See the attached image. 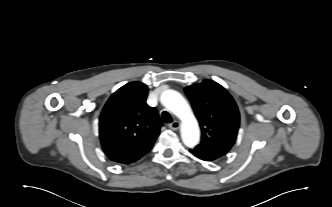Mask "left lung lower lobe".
Here are the masks:
<instances>
[{
  "label": "left lung lower lobe",
  "instance_id": "0a47b994",
  "mask_svg": "<svg viewBox=\"0 0 332 207\" xmlns=\"http://www.w3.org/2000/svg\"><path fill=\"white\" fill-rule=\"evenodd\" d=\"M190 152L196 156L199 159L205 160V161H213L216 160L218 158H220L221 156L216 154V153H212V152H208V151H204V150H199V149H190Z\"/></svg>",
  "mask_w": 332,
  "mask_h": 207
}]
</instances>
